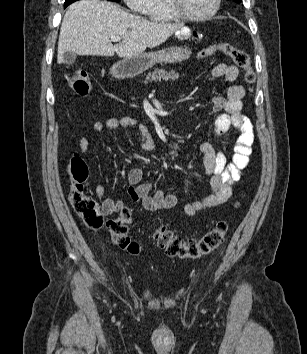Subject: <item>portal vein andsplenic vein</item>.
Returning a JSON list of instances; mask_svg holds the SVG:
<instances>
[{"mask_svg": "<svg viewBox=\"0 0 307 354\" xmlns=\"http://www.w3.org/2000/svg\"><path fill=\"white\" fill-rule=\"evenodd\" d=\"M111 41H113V42H119V41H121V37H120V36H112V37H111Z\"/></svg>", "mask_w": 307, "mask_h": 354, "instance_id": "portal-vein-and-splenic-vein-1", "label": "portal vein and splenic vein"}]
</instances>
